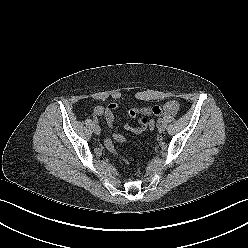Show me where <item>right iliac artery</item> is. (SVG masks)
Returning <instances> with one entry per match:
<instances>
[{"mask_svg":"<svg viewBox=\"0 0 248 248\" xmlns=\"http://www.w3.org/2000/svg\"><path fill=\"white\" fill-rule=\"evenodd\" d=\"M93 123H94V124L98 123V120L94 119V120H93Z\"/></svg>","mask_w":248,"mask_h":248,"instance_id":"obj_1","label":"right iliac artery"}]
</instances>
